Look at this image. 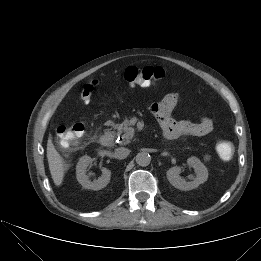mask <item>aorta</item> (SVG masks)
<instances>
[{
  "label": "aorta",
  "instance_id": "762f6f07",
  "mask_svg": "<svg viewBox=\"0 0 261 261\" xmlns=\"http://www.w3.org/2000/svg\"><path fill=\"white\" fill-rule=\"evenodd\" d=\"M136 163L139 165V166H142V167H146L150 164L151 162V156L149 155L148 152H139L137 155H136Z\"/></svg>",
  "mask_w": 261,
  "mask_h": 261
}]
</instances>
